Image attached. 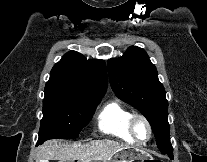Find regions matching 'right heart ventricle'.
<instances>
[{
    "label": "right heart ventricle",
    "mask_w": 207,
    "mask_h": 162,
    "mask_svg": "<svg viewBox=\"0 0 207 162\" xmlns=\"http://www.w3.org/2000/svg\"><path fill=\"white\" fill-rule=\"evenodd\" d=\"M133 113L117 100L107 102L97 114L100 132L126 142H134L128 131V122Z\"/></svg>",
    "instance_id": "1"
}]
</instances>
